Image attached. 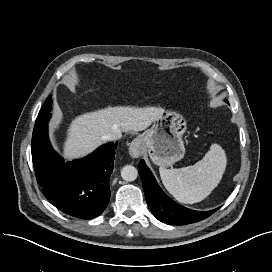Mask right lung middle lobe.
<instances>
[{
    "instance_id": "obj_1",
    "label": "right lung middle lobe",
    "mask_w": 272,
    "mask_h": 272,
    "mask_svg": "<svg viewBox=\"0 0 272 272\" xmlns=\"http://www.w3.org/2000/svg\"><path fill=\"white\" fill-rule=\"evenodd\" d=\"M51 105H52V100H51V96H49L46 102L44 103V105L42 106L38 115L50 112L52 108Z\"/></svg>"
}]
</instances>
